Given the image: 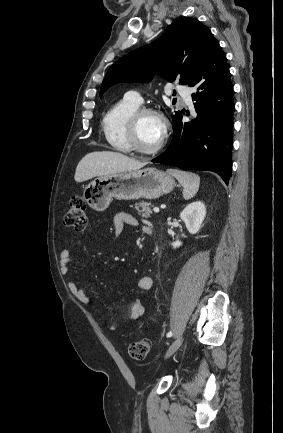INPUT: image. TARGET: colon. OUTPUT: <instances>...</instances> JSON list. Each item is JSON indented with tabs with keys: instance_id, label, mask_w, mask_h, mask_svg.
<instances>
[{
	"instance_id": "1",
	"label": "colon",
	"mask_w": 283,
	"mask_h": 433,
	"mask_svg": "<svg viewBox=\"0 0 283 433\" xmlns=\"http://www.w3.org/2000/svg\"><path fill=\"white\" fill-rule=\"evenodd\" d=\"M86 205L82 197L75 196L71 199L69 208L64 217V224L77 232H83L87 228ZM151 347L149 338L138 339L128 346V355L135 360L144 359Z\"/></svg>"
}]
</instances>
